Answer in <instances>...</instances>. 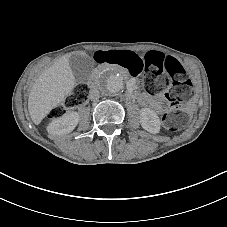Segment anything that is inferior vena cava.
<instances>
[{
	"mask_svg": "<svg viewBox=\"0 0 227 227\" xmlns=\"http://www.w3.org/2000/svg\"><path fill=\"white\" fill-rule=\"evenodd\" d=\"M89 97L92 101H98L100 98V92L98 89H91L89 92Z\"/></svg>",
	"mask_w": 227,
	"mask_h": 227,
	"instance_id": "inferior-vena-cava-1",
	"label": "inferior vena cava"
}]
</instances>
